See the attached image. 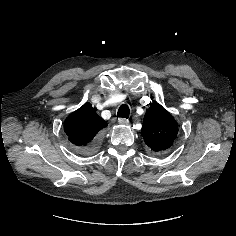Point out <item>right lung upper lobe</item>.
<instances>
[{
  "mask_svg": "<svg viewBox=\"0 0 236 236\" xmlns=\"http://www.w3.org/2000/svg\"><path fill=\"white\" fill-rule=\"evenodd\" d=\"M106 126V121L97 115L91 104L85 103L66 118L64 131L71 143L85 147L90 145L97 133Z\"/></svg>",
  "mask_w": 236,
  "mask_h": 236,
  "instance_id": "obj_1",
  "label": "right lung upper lobe"
}]
</instances>
